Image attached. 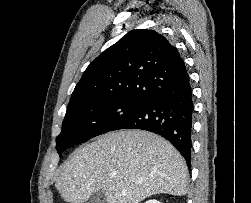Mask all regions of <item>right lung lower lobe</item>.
Listing matches in <instances>:
<instances>
[{"mask_svg":"<svg viewBox=\"0 0 251 203\" xmlns=\"http://www.w3.org/2000/svg\"><path fill=\"white\" fill-rule=\"evenodd\" d=\"M194 105L189 75L159 91L137 111L120 121L111 131L142 129L169 140L190 165Z\"/></svg>","mask_w":251,"mask_h":203,"instance_id":"obj_1","label":"right lung lower lobe"}]
</instances>
